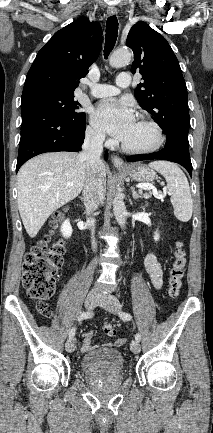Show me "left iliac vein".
I'll list each match as a JSON object with an SVG mask.
<instances>
[{"label":"left iliac vein","instance_id":"4c4485c4","mask_svg":"<svg viewBox=\"0 0 213 433\" xmlns=\"http://www.w3.org/2000/svg\"><path fill=\"white\" fill-rule=\"evenodd\" d=\"M98 305L113 314H118L121 308L119 300L115 296L108 294L100 296ZM130 349L134 354H138L141 350L139 341L132 340Z\"/></svg>","mask_w":213,"mask_h":433}]
</instances>
